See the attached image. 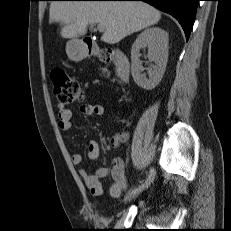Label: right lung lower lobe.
I'll use <instances>...</instances> for the list:
<instances>
[{"mask_svg": "<svg viewBox=\"0 0 231 231\" xmlns=\"http://www.w3.org/2000/svg\"><path fill=\"white\" fill-rule=\"evenodd\" d=\"M95 1H144L157 9L164 11L178 20L186 39L192 30L196 9L200 0H95Z\"/></svg>", "mask_w": 231, "mask_h": 231, "instance_id": "98d812e1", "label": "right lung lower lobe"}]
</instances>
